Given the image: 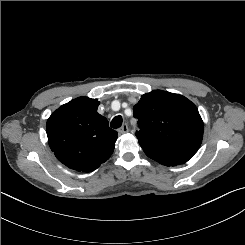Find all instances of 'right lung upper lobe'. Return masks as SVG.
Wrapping results in <instances>:
<instances>
[{
	"mask_svg": "<svg viewBox=\"0 0 245 245\" xmlns=\"http://www.w3.org/2000/svg\"><path fill=\"white\" fill-rule=\"evenodd\" d=\"M97 99L79 97L55 110L47 120L48 142L56 158L79 172H91L114 151L117 132L97 112Z\"/></svg>",
	"mask_w": 245,
	"mask_h": 245,
	"instance_id": "right-lung-upper-lobe-1",
	"label": "right lung upper lobe"
}]
</instances>
